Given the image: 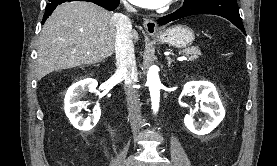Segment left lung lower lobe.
<instances>
[{"mask_svg": "<svg viewBox=\"0 0 277 166\" xmlns=\"http://www.w3.org/2000/svg\"><path fill=\"white\" fill-rule=\"evenodd\" d=\"M197 14H213L224 17L246 34L236 0H196L183 5L169 15L159 18L158 23L159 25H165L171 21Z\"/></svg>", "mask_w": 277, "mask_h": 166, "instance_id": "left-lung-lower-lobe-1", "label": "left lung lower lobe"}]
</instances>
